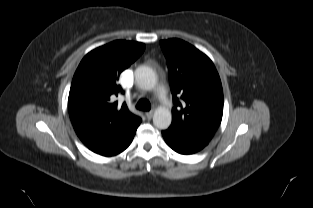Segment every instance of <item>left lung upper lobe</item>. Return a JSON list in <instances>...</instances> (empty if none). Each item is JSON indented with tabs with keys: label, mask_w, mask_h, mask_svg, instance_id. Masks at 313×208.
Listing matches in <instances>:
<instances>
[{
	"label": "left lung upper lobe",
	"mask_w": 313,
	"mask_h": 208,
	"mask_svg": "<svg viewBox=\"0 0 313 208\" xmlns=\"http://www.w3.org/2000/svg\"><path fill=\"white\" fill-rule=\"evenodd\" d=\"M160 45L167 60L175 104L168 130L186 139L208 143L223 114L218 72L204 53L183 40H162Z\"/></svg>",
	"instance_id": "obj_1"
}]
</instances>
